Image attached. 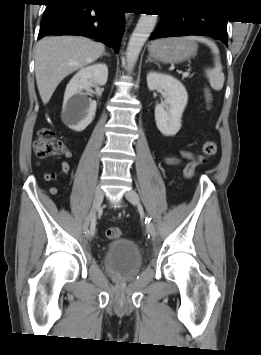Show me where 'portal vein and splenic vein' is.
Returning a JSON list of instances; mask_svg holds the SVG:
<instances>
[{"mask_svg":"<svg viewBox=\"0 0 261 355\" xmlns=\"http://www.w3.org/2000/svg\"><path fill=\"white\" fill-rule=\"evenodd\" d=\"M189 75H190L189 72H184V73H183V77H188Z\"/></svg>","mask_w":261,"mask_h":355,"instance_id":"portal-vein-and-splenic-vein-1","label":"portal vein and splenic vein"}]
</instances>
